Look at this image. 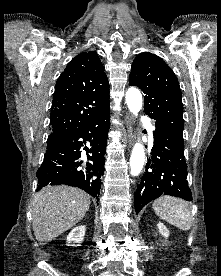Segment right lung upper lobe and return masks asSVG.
Masks as SVG:
<instances>
[{
  "label": "right lung upper lobe",
  "instance_id": "cb5924a9",
  "mask_svg": "<svg viewBox=\"0 0 221 276\" xmlns=\"http://www.w3.org/2000/svg\"><path fill=\"white\" fill-rule=\"evenodd\" d=\"M109 103V83L97 53H80L57 80L48 137L69 136L109 108Z\"/></svg>",
  "mask_w": 221,
  "mask_h": 276
}]
</instances>
